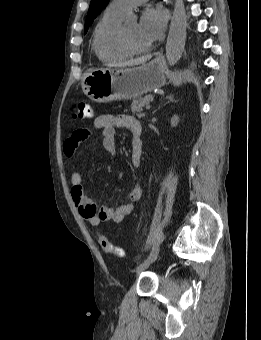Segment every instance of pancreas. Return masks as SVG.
I'll return each mask as SVG.
<instances>
[{
  "instance_id": "pancreas-1",
  "label": "pancreas",
  "mask_w": 261,
  "mask_h": 340,
  "mask_svg": "<svg viewBox=\"0 0 261 340\" xmlns=\"http://www.w3.org/2000/svg\"><path fill=\"white\" fill-rule=\"evenodd\" d=\"M151 101L150 98H139L133 100L131 103V111L135 115H137L139 118L144 117L145 113H143V107L147 104H149Z\"/></svg>"
}]
</instances>
